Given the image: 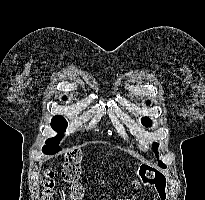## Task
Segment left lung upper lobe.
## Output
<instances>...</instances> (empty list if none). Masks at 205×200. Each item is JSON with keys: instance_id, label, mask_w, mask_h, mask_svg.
<instances>
[{"instance_id": "5c2ea615", "label": "left lung upper lobe", "mask_w": 205, "mask_h": 200, "mask_svg": "<svg viewBox=\"0 0 205 200\" xmlns=\"http://www.w3.org/2000/svg\"><path fill=\"white\" fill-rule=\"evenodd\" d=\"M148 104H149V102H148ZM142 124L145 125L146 127H150L152 125V122L148 117H144V118H142ZM158 146H159V144L153 143V149L155 151V154H156L157 158L159 159L158 152H157V147ZM159 165L163 168L166 167L161 161H159Z\"/></svg>"}]
</instances>
